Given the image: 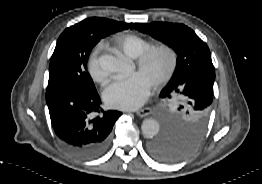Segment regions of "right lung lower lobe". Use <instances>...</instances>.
Wrapping results in <instances>:
<instances>
[{
	"label": "right lung lower lobe",
	"instance_id": "98d812e1",
	"mask_svg": "<svg viewBox=\"0 0 262 184\" xmlns=\"http://www.w3.org/2000/svg\"><path fill=\"white\" fill-rule=\"evenodd\" d=\"M46 102L52 127L70 152L84 158H94L104 152L121 112H103L96 90L49 86Z\"/></svg>",
	"mask_w": 262,
	"mask_h": 184
}]
</instances>
